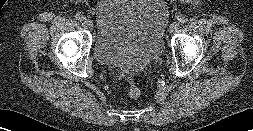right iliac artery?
<instances>
[{
	"mask_svg": "<svg viewBox=\"0 0 253 131\" xmlns=\"http://www.w3.org/2000/svg\"><path fill=\"white\" fill-rule=\"evenodd\" d=\"M75 19L78 20V21H84L86 19V17L82 14H75Z\"/></svg>",
	"mask_w": 253,
	"mask_h": 131,
	"instance_id": "right-iliac-artery-1",
	"label": "right iliac artery"
}]
</instances>
